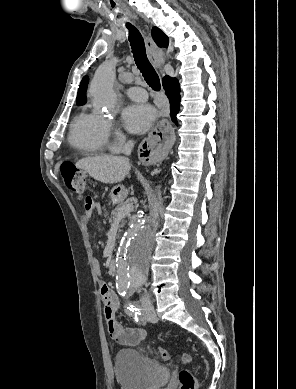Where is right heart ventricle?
<instances>
[{
    "mask_svg": "<svg viewBox=\"0 0 296 389\" xmlns=\"http://www.w3.org/2000/svg\"><path fill=\"white\" fill-rule=\"evenodd\" d=\"M68 140L72 147L86 154L105 153L109 149L106 120L95 113H79L72 122Z\"/></svg>",
    "mask_w": 296,
    "mask_h": 389,
    "instance_id": "obj_1",
    "label": "right heart ventricle"
}]
</instances>
